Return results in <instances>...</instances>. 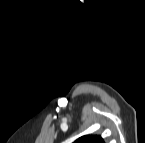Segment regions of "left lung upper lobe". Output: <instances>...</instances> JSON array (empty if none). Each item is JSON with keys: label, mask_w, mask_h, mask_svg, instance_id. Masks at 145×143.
Masks as SVG:
<instances>
[{"label": "left lung upper lobe", "mask_w": 145, "mask_h": 143, "mask_svg": "<svg viewBox=\"0 0 145 143\" xmlns=\"http://www.w3.org/2000/svg\"><path fill=\"white\" fill-rule=\"evenodd\" d=\"M74 143H104L101 136L86 135L77 139Z\"/></svg>", "instance_id": "obj_1"}]
</instances>
